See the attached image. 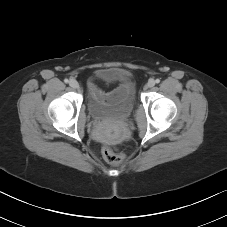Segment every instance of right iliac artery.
Listing matches in <instances>:
<instances>
[{"mask_svg":"<svg viewBox=\"0 0 227 227\" xmlns=\"http://www.w3.org/2000/svg\"><path fill=\"white\" fill-rule=\"evenodd\" d=\"M64 82H65V83H68V82H69V80H68V79H65V80H64Z\"/></svg>","mask_w":227,"mask_h":227,"instance_id":"obj_1","label":"right iliac artery"}]
</instances>
